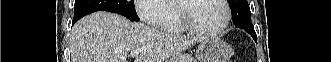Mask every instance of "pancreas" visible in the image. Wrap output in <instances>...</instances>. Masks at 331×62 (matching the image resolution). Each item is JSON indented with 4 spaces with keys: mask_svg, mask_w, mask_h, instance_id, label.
<instances>
[{
    "mask_svg": "<svg viewBox=\"0 0 331 62\" xmlns=\"http://www.w3.org/2000/svg\"><path fill=\"white\" fill-rule=\"evenodd\" d=\"M169 62H195L189 54H184L182 56H175L169 60Z\"/></svg>",
    "mask_w": 331,
    "mask_h": 62,
    "instance_id": "pancreas-1",
    "label": "pancreas"
}]
</instances>
